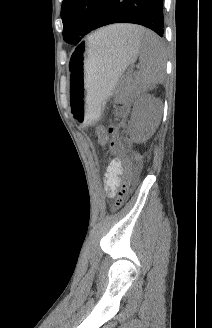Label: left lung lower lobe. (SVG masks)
<instances>
[{"label":"left lung lower lobe","instance_id":"left-lung-lower-lobe-1","mask_svg":"<svg viewBox=\"0 0 212 328\" xmlns=\"http://www.w3.org/2000/svg\"><path fill=\"white\" fill-rule=\"evenodd\" d=\"M113 23L143 25L163 37V0H104L93 30Z\"/></svg>","mask_w":212,"mask_h":328}]
</instances>
